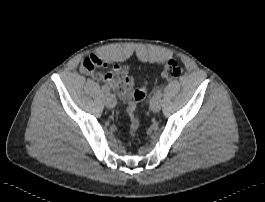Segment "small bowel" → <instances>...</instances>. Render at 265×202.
Returning <instances> with one entry per match:
<instances>
[{"label": "small bowel", "instance_id": "small-bowel-1", "mask_svg": "<svg viewBox=\"0 0 265 202\" xmlns=\"http://www.w3.org/2000/svg\"><path fill=\"white\" fill-rule=\"evenodd\" d=\"M96 68H110V71H98ZM79 71L97 81L105 82L111 90L117 93L122 101L128 102L131 100L134 90V80L126 67L120 64L111 65L102 57L96 54H90L82 59Z\"/></svg>", "mask_w": 265, "mask_h": 202}]
</instances>
